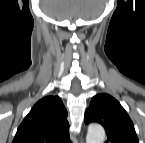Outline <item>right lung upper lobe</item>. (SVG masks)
Masks as SVG:
<instances>
[{"mask_svg":"<svg viewBox=\"0 0 145 143\" xmlns=\"http://www.w3.org/2000/svg\"><path fill=\"white\" fill-rule=\"evenodd\" d=\"M67 111L58 96L39 100L17 129L13 143H66Z\"/></svg>","mask_w":145,"mask_h":143,"instance_id":"1","label":"right lung upper lobe"}]
</instances>
